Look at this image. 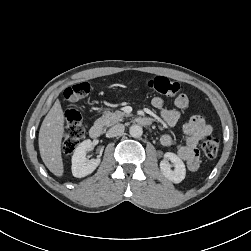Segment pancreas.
Returning a JSON list of instances; mask_svg holds the SVG:
<instances>
[{
    "mask_svg": "<svg viewBox=\"0 0 251 251\" xmlns=\"http://www.w3.org/2000/svg\"><path fill=\"white\" fill-rule=\"evenodd\" d=\"M130 116L122 111L116 110L115 112H107L102 117L96 120V124L102 127H110L123 121L124 117Z\"/></svg>",
    "mask_w": 251,
    "mask_h": 251,
    "instance_id": "obj_1",
    "label": "pancreas"
}]
</instances>
